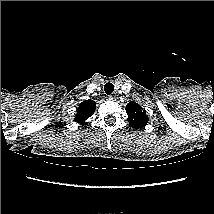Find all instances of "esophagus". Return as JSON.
Segmentation results:
<instances>
[{
    "label": "esophagus",
    "mask_w": 214,
    "mask_h": 214,
    "mask_svg": "<svg viewBox=\"0 0 214 214\" xmlns=\"http://www.w3.org/2000/svg\"><path fill=\"white\" fill-rule=\"evenodd\" d=\"M107 99H108V100H114L115 97H114L113 95H108V96H107Z\"/></svg>",
    "instance_id": "obj_1"
}]
</instances>
